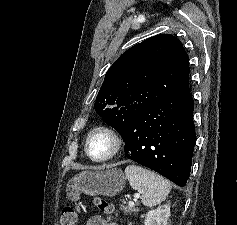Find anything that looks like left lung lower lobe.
<instances>
[{"label": "left lung lower lobe", "instance_id": "obj_1", "mask_svg": "<svg viewBox=\"0 0 237 225\" xmlns=\"http://www.w3.org/2000/svg\"><path fill=\"white\" fill-rule=\"evenodd\" d=\"M126 157L183 187L196 140L193 98L176 93L138 115L121 133Z\"/></svg>", "mask_w": 237, "mask_h": 225}]
</instances>
